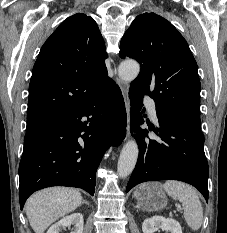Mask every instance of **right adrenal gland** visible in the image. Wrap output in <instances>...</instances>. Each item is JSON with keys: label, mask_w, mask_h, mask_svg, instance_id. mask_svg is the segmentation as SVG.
Returning <instances> with one entry per match:
<instances>
[{"label": "right adrenal gland", "mask_w": 227, "mask_h": 233, "mask_svg": "<svg viewBox=\"0 0 227 233\" xmlns=\"http://www.w3.org/2000/svg\"><path fill=\"white\" fill-rule=\"evenodd\" d=\"M83 204H87L88 206L90 205L86 200L83 201Z\"/></svg>", "instance_id": "2a0ac1e0"}]
</instances>
